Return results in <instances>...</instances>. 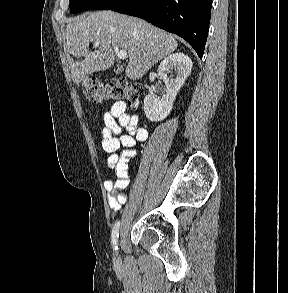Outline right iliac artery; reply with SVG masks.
<instances>
[{
	"mask_svg": "<svg viewBox=\"0 0 288 293\" xmlns=\"http://www.w3.org/2000/svg\"><path fill=\"white\" fill-rule=\"evenodd\" d=\"M119 227H120V221H117L113 227L112 235H111L112 244L115 250L118 249L117 242H118V236H119Z\"/></svg>",
	"mask_w": 288,
	"mask_h": 293,
	"instance_id": "right-iliac-artery-1",
	"label": "right iliac artery"
}]
</instances>
